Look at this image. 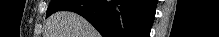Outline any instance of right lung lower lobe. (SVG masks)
<instances>
[{"mask_svg": "<svg viewBox=\"0 0 219 37\" xmlns=\"http://www.w3.org/2000/svg\"><path fill=\"white\" fill-rule=\"evenodd\" d=\"M156 0H76L61 11L87 19L103 37H148Z\"/></svg>", "mask_w": 219, "mask_h": 37, "instance_id": "1", "label": "right lung lower lobe"}]
</instances>
